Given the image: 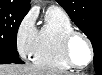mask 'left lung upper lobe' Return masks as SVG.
Masks as SVG:
<instances>
[{
  "instance_id": "obj_1",
  "label": "left lung upper lobe",
  "mask_w": 102,
  "mask_h": 75,
  "mask_svg": "<svg viewBox=\"0 0 102 75\" xmlns=\"http://www.w3.org/2000/svg\"><path fill=\"white\" fill-rule=\"evenodd\" d=\"M76 26L90 39L94 49V69L102 73V0H56Z\"/></svg>"
}]
</instances>
